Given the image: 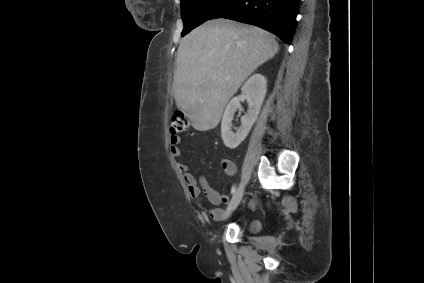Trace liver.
<instances>
[{
	"label": "liver",
	"mask_w": 424,
	"mask_h": 283,
	"mask_svg": "<svg viewBox=\"0 0 424 283\" xmlns=\"http://www.w3.org/2000/svg\"><path fill=\"white\" fill-rule=\"evenodd\" d=\"M278 50L275 36L257 26L207 21L180 41L173 81L177 107L194 129L215 128L242 83Z\"/></svg>",
	"instance_id": "liver-1"
}]
</instances>
